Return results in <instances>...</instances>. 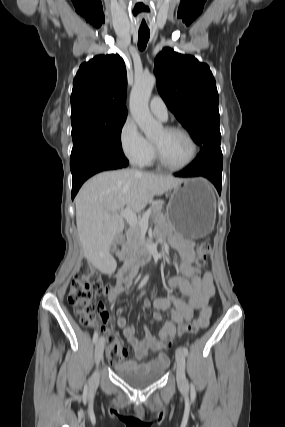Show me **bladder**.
Returning a JSON list of instances; mask_svg holds the SVG:
<instances>
[{"mask_svg": "<svg viewBox=\"0 0 285 427\" xmlns=\"http://www.w3.org/2000/svg\"><path fill=\"white\" fill-rule=\"evenodd\" d=\"M165 369V367H158L154 370L144 373L130 372L121 368H118L116 371L127 384L134 388L140 389L158 381L165 373Z\"/></svg>", "mask_w": 285, "mask_h": 427, "instance_id": "obj_1", "label": "bladder"}]
</instances>
